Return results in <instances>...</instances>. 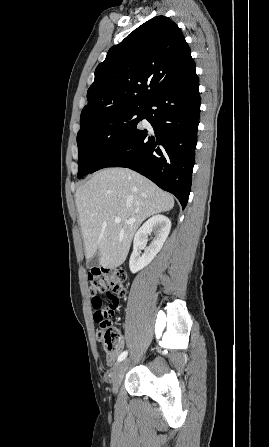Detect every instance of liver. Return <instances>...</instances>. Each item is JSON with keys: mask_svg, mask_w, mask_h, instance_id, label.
<instances>
[{"mask_svg": "<svg viewBox=\"0 0 269 447\" xmlns=\"http://www.w3.org/2000/svg\"><path fill=\"white\" fill-rule=\"evenodd\" d=\"M76 206L87 261L99 253L101 267L114 269L125 261L136 229L161 212H169L174 198L153 182L127 168H105L77 188ZM115 218H121L116 224ZM135 220L134 224H126Z\"/></svg>", "mask_w": 269, "mask_h": 447, "instance_id": "1", "label": "liver"}]
</instances>
